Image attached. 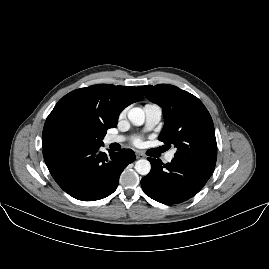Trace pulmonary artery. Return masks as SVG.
<instances>
[{
  "mask_svg": "<svg viewBox=\"0 0 269 269\" xmlns=\"http://www.w3.org/2000/svg\"><path fill=\"white\" fill-rule=\"evenodd\" d=\"M144 113H145V130L150 131L155 129L162 119L161 107L156 104H147L144 107ZM123 140H124L123 136H109L105 138L104 143L106 145H109L113 143L122 142ZM175 151L176 149H173L165 155L164 157L165 162L169 163L172 161Z\"/></svg>",
  "mask_w": 269,
  "mask_h": 269,
  "instance_id": "obj_1",
  "label": "pulmonary artery"
}]
</instances>
